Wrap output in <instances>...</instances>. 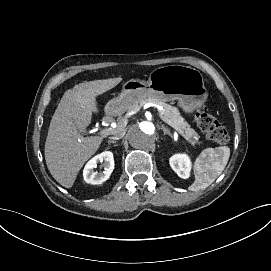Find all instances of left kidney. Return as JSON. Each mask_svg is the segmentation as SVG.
I'll use <instances>...</instances> for the list:
<instances>
[{"instance_id":"1","label":"left kidney","mask_w":271,"mask_h":271,"mask_svg":"<svg viewBox=\"0 0 271 271\" xmlns=\"http://www.w3.org/2000/svg\"><path fill=\"white\" fill-rule=\"evenodd\" d=\"M169 163L171 168L177 173L179 177L183 179H187L190 177L192 164L190 157L187 154H174L170 157Z\"/></svg>"}]
</instances>
